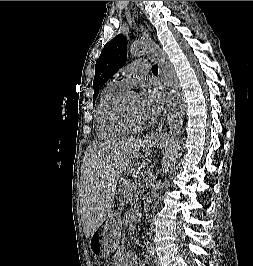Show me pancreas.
<instances>
[{
    "label": "pancreas",
    "mask_w": 253,
    "mask_h": 266,
    "mask_svg": "<svg viewBox=\"0 0 253 266\" xmlns=\"http://www.w3.org/2000/svg\"><path fill=\"white\" fill-rule=\"evenodd\" d=\"M133 194H136L135 184L130 180L123 181L120 186V202L122 204H125L126 202L131 200Z\"/></svg>",
    "instance_id": "obj_1"
}]
</instances>
